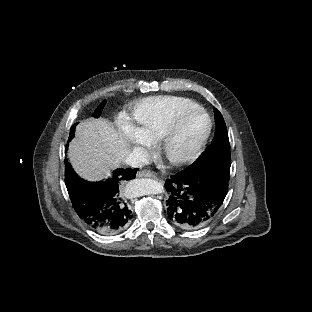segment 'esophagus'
<instances>
[{
  "label": "esophagus",
  "mask_w": 312,
  "mask_h": 312,
  "mask_svg": "<svg viewBox=\"0 0 312 312\" xmlns=\"http://www.w3.org/2000/svg\"><path fill=\"white\" fill-rule=\"evenodd\" d=\"M136 176L138 178L144 177V178H152V179L157 180V177L152 172L147 171V170H140V171H138Z\"/></svg>",
  "instance_id": "1"
}]
</instances>
